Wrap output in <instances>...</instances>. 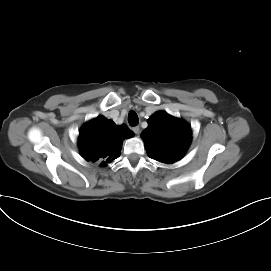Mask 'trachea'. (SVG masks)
<instances>
[{
    "instance_id": "trachea-1",
    "label": "trachea",
    "mask_w": 271,
    "mask_h": 271,
    "mask_svg": "<svg viewBox=\"0 0 271 271\" xmlns=\"http://www.w3.org/2000/svg\"><path fill=\"white\" fill-rule=\"evenodd\" d=\"M128 122L131 126H136L139 123L138 116L134 111L128 114Z\"/></svg>"
}]
</instances>
